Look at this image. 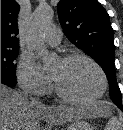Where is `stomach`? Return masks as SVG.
<instances>
[{"mask_svg":"<svg viewBox=\"0 0 123 130\" xmlns=\"http://www.w3.org/2000/svg\"><path fill=\"white\" fill-rule=\"evenodd\" d=\"M65 130H94V128L86 121L75 120Z\"/></svg>","mask_w":123,"mask_h":130,"instance_id":"obj_1","label":"stomach"}]
</instances>
